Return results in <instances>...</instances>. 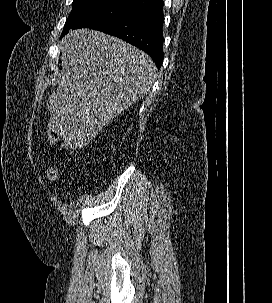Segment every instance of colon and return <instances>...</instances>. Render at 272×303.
Wrapping results in <instances>:
<instances>
[{
    "label": "colon",
    "mask_w": 272,
    "mask_h": 303,
    "mask_svg": "<svg viewBox=\"0 0 272 303\" xmlns=\"http://www.w3.org/2000/svg\"><path fill=\"white\" fill-rule=\"evenodd\" d=\"M47 136L51 145L57 143L59 139V130L55 122H50L47 128ZM44 176L47 180L54 181L59 177V170L53 163L45 167Z\"/></svg>",
    "instance_id": "colon-1"
}]
</instances>
